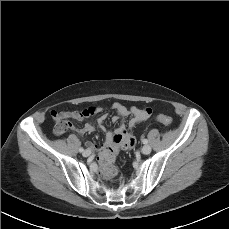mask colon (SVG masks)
<instances>
[{
  "label": "colon",
  "instance_id": "obj_1",
  "mask_svg": "<svg viewBox=\"0 0 229 229\" xmlns=\"http://www.w3.org/2000/svg\"><path fill=\"white\" fill-rule=\"evenodd\" d=\"M144 112L148 115L151 114L150 108H143ZM96 113V108L93 107L90 111H87L84 115L91 116ZM157 120L164 124V125H170L172 123V118L168 115L161 114L157 117ZM72 126V122L69 119V115L60 113L58 114V120L56 123V126L54 128V132L56 134H62L66 132L68 129H70ZM123 136L122 135H116L113 138V143L115 147H106L102 150L99 160L101 163V176L105 179H111L115 180L117 179L118 170L115 166V160L118 156L120 148L118 147V144L122 141Z\"/></svg>",
  "mask_w": 229,
  "mask_h": 229
}]
</instances>
